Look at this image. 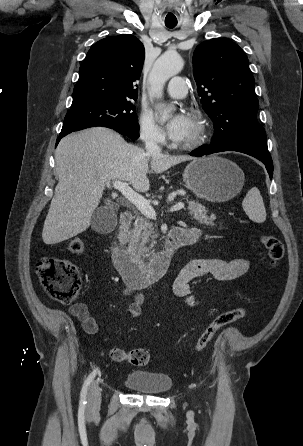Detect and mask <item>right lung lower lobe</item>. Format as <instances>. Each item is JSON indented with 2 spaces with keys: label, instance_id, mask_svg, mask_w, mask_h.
<instances>
[{
  "label": "right lung lower lobe",
  "instance_id": "obj_1",
  "mask_svg": "<svg viewBox=\"0 0 303 446\" xmlns=\"http://www.w3.org/2000/svg\"><path fill=\"white\" fill-rule=\"evenodd\" d=\"M94 126H103V125H87V126L80 127V128H78V129H76V130H74V131L82 130V129L89 128V127H94ZM103 127H107V126H103ZM108 128H110V127H108ZM111 129H112V128H111ZM72 132H73V131H72ZM69 133H71V132H67V133H64V134H60L59 137H58V139H57L56 145L59 143V141H60L61 138H63L64 136H66V135L69 134Z\"/></svg>",
  "mask_w": 303,
  "mask_h": 446
}]
</instances>
